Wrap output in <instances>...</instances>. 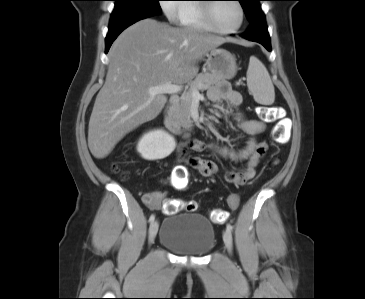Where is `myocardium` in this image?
Here are the masks:
<instances>
[{
  "label": "myocardium",
  "mask_w": 365,
  "mask_h": 299,
  "mask_svg": "<svg viewBox=\"0 0 365 299\" xmlns=\"http://www.w3.org/2000/svg\"><path fill=\"white\" fill-rule=\"evenodd\" d=\"M208 1H215V0H208ZM233 1L237 4V6L240 10L241 18H240L239 24L236 27L231 28V29H223V28H219L215 25L213 11H214L216 2H207L205 4H202L204 21L207 24V26L209 27L210 31H212L214 33H218V34H233L242 28V26L245 22V9H244L242 3L240 2V0H233Z\"/></svg>",
  "instance_id": "1"
}]
</instances>
